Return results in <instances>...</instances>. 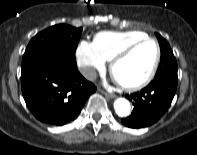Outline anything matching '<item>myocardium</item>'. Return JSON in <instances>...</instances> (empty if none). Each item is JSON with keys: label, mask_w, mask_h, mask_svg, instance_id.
Returning a JSON list of instances; mask_svg holds the SVG:
<instances>
[{"label": "myocardium", "mask_w": 197, "mask_h": 155, "mask_svg": "<svg viewBox=\"0 0 197 155\" xmlns=\"http://www.w3.org/2000/svg\"><path fill=\"white\" fill-rule=\"evenodd\" d=\"M147 42H151L155 45L156 57L146 77L142 79L141 81L134 83V84H124V83L117 81L114 77V69H115L116 64L120 62L122 59L126 58L138 46ZM160 60H161V48H160L158 41L151 37H145L131 44H128L125 47H123L121 50H119L111 59L109 70H110L112 77L115 79L116 83L119 85L121 89L128 91V92H135V91L143 89L152 81L159 67Z\"/></svg>", "instance_id": "f54148a6"}]
</instances>
